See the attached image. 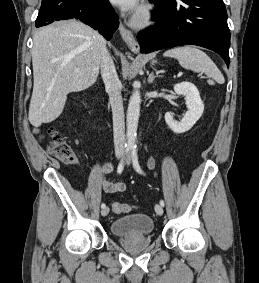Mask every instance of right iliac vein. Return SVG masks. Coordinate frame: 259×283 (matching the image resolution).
Returning a JSON list of instances; mask_svg holds the SVG:
<instances>
[{"label": "right iliac vein", "mask_w": 259, "mask_h": 283, "mask_svg": "<svg viewBox=\"0 0 259 283\" xmlns=\"http://www.w3.org/2000/svg\"><path fill=\"white\" fill-rule=\"evenodd\" d=\"M116 156H117V158H121L122 152H117ZM108 213H109V207H105L101 210L102 216H106V215H108Z\"/></svg>", "instance_id": "right-iliac-vein-1"}]
</instances>
